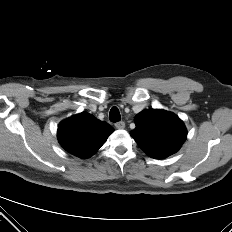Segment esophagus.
I'll list each match as a JSON object with an SVG mask.
<instances>
[{"label": "esophagus", "mask_w": 232, "mask_h": 232, "mask_svg": "<svg viewBox=\"0 0 232 232\" xmlns=\"http://www.w3.org/2000/svg\"><path fill=\"white\" fill-rule=\"evenodd\" d=\"M115 127L117 129H124L125 128V122H123V121L117 122V123H115Z\"/></svg>", "instance_id": "1"}]
</instances>
